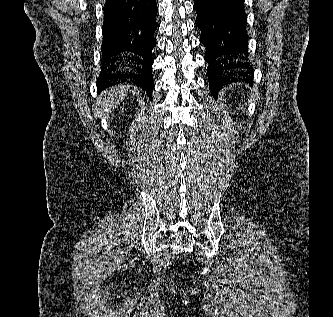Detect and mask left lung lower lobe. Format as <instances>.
Here are the masks:
<instances>
[{
	"label": "left lung lower lobe",
	"mask_w": 333,
	"mask_h": 317,
	"mask_svg": "<svg viewBox=\"0 0 333 317\" xmlns=\"http://www.w3.org/2000/svg\"><path fill=\"white\" fill-rule=\"evenodd\" d=\"M194 8L195 23L201 30L200 41L206 47L212 95L217 98L218 92L231 83H250L251 79L244 77L248 66L233 61L240 54H248L244 0H195Z\"/></svg>",
	"instance_id": "0a47b994"
}]
</instances>
